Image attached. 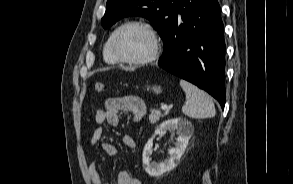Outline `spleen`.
<instances>
[{
	"instance_id": "1",
	"label": "spleen",
	"mask_w": 293,
	"mask_h": 184,
	"mask_svg": "<svg viewBox=\"0 0 293 184\" xmlns=\"http://www.w3.org/2000/svg\"><path fill=\"white\" fill-rule=\"evenodd\" d=\"M180 86L186 93V102L182 107V112L196 119L211 118L216 114L215 106L212 98L195 85L180 80Z\"/></svg>"
}]
</instances>
